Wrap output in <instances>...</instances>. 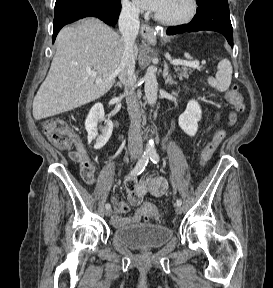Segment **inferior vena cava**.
I'll return each mask as SVG.
<instances>
[{"label": "inferior vena cava", "mask_w": 273, "mask_h": 288, "mask_svg": "<svg viewBox=\"0 0 273 288\" xmlns=\"http://www.w3.org/2000/svg\"><path fill=\"white\" fill-rule=\"evenodd\" d=\"M139 9L124 5L119 17V31L124 40V51L118 69V76L124 85L127 110L130 117L128 133V150L131 155L141 154L143 143L141 137V113L138 97L135 93L137 78L135 75V39L139 31Z\"/></svg>", "instance_id": "602c4592"}]
</instances>
